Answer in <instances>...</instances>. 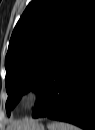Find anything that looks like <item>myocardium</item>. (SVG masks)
I'll use <instances>...</instances> for the list:
<instances>
[{
  "mask_svg": "<svg viewBox=\"0 0 95 130\" xmlns=\"http://www.w3.org/2000/svg\"><path fill=\"white\" fill-rule=\"evenodd\" d=\"M42 99V91L37 86L25 87L19 94V103L24 107H33Z\"/></svg>",
  "mask_w": 95,
  "mask_h": 130,
  "instance_id": "f54148a6",
  "label": "myocardium"
}]
</instances>
